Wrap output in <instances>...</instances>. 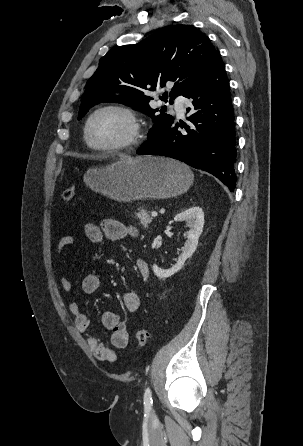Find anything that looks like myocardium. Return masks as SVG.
<instances>
[{
	"mask_svg": "<svg viewBox=\"0 0 303 446\" xmlns=\"http://www.w3.org/2000/svg\"><path fill=\"white\" fill-rule=\"evenodd\" d=\"M105 111H114L123 115L130 124V133L123 141L110 146H96L89 138V128L92 120L100 113ZM143 134V122L136 110L131 107L120 104H107L95 109L87 118L84 126V139L87 146L95 151L100 152H117L128 149L137 144Z\"/></svg>",
	"mask_w": 303,
	"mask_h": 446,
	"instance_id": "obj_1",
	"label": "myocardium"
}]
</instances>
